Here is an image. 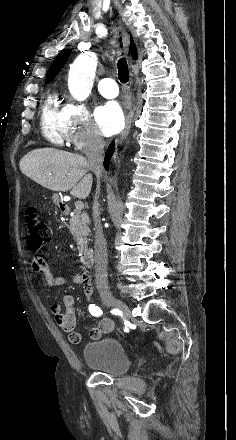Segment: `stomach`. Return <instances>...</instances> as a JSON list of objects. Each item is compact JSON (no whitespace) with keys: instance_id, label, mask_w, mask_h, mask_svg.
<instances>
[{"instance_id":"stomach-1","label":"stomach","mask_w":236,"mask_h":440,"mask_svg":"<svg viewBox=\"0 0 236 440\" xmlns=\"http://www.w3.org/2000/svg\"><path fill=\"white\" fill-rule=\"evenodd\" d=\"M52 199H53V201H54V203H55L56 205L60 206L61 199H60V197H59L58 194H54V195L52 196Z\"/></svg>"}]
</instances>
